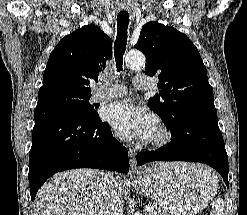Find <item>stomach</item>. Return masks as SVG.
Returning a JSON list of instances; mask_svg holds the SVG:
<instances>
[{
  "mask_svg": "<svg viewBox=\"0 0 247 215\" xmlns=\"http://www.w3.org/2000/svg\"><path fill=\"white\" fill-rule=\"evenodd\" d=\"M135 188L169 215H194L214 196L217 178L200 164L156 163L141 172Z\"/></svg>",
  "mask_w": 247,
  "mask_h": 215,
  "instance_id": "1",
  "label": "stomach"
}]
</instances>
